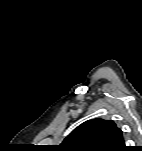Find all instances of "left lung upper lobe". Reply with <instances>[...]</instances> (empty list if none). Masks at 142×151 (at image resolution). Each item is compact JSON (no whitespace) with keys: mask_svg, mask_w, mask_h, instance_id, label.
<instances>
[{"mask_svg":"<svg viewBox=\"0 0 142 151\" xmlns=\"http://www.w3.org/2000/svg\"><path fill=\"white\" fill-rule=\"evenodd\" d=\"M68 151H125L121 129L112 120H88L73 130L60 145Z\"/></svg>","mask_w":142,"mask_h":151,"instance_id":"1","label":"left lung upper lobe"}]
</instances>
